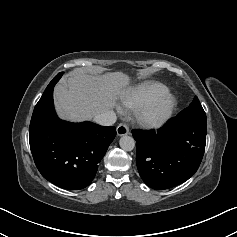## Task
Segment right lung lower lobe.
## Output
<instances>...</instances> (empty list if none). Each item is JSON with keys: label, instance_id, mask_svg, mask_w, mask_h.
<instances>
[{"label": "right lung lower lobe", "instance_id": "obj_1", "mask_svg": "<svg viewBox=\"0 0 237 237\" xmlns=\"http://www.w3.org/2000/svg\"><path fill=\"white\" fill-rule=\"evenodd\" d=\"M61 76L59 73L54 77L34 108L29 128L30 148L45 179L61 188L83 189L95 177L116 129L92 122L60 120L53 106V88Z\"/></svg>", "mask_w": 237, "mask_h": 237}]
</instances>
